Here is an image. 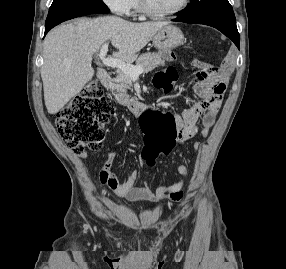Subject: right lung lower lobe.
<instances>
[{
	"label": "right lung lower lobe",
	"instance_id": "1",
	"mask_svg": "<svg viewBox=\"0 0 286 269\" xmlns=\"http://www.w3.org/2000/svg\"><path fill=\"white\" fill-rule=\"evenodd\" d=\"M51 28H45V35L48 33V31L50 30Z\"/></svg>",
	"mask_w": 286,
	"mask_h": 269
}]
</instances>
